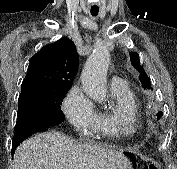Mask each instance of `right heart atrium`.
<instances>
[{
  "label": "right heart atrium",
  "instance_id": "d8ad5b80",
  "mask_svg": "<svg viewBox=\"0 0 177 169\" xmlns=\"http://www.w3.org/2000/svg\"><path fill=\"white\" fill-rule=\"evenodd\" d=\"M63 111L77 132L85 133L95 124V106L79 87H73L67 93L63 101Z\"/></svg>",
  "mask_w": 177,
  "mask_h": 169
}]
</instances>
